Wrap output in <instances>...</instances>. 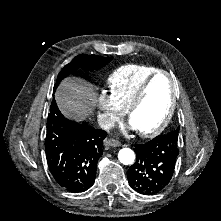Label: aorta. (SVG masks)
Masks as SVG:
<instances>
[{
	"label": "aorta",
	"instance_id": "1",
	"mask_svg": "<svg viewBox=\"0 0 221 221\" xmlns=\"http://www.w3.org/2000/svg\"><path fill=\"white\" fill-rule=\"evenodd\" d=\"M118 159L124 165H131L134 163L135 154L130 148H123L118 153Z\"/></svg>",
	"mask_w": 221,
	"mask_h": 221
}]
</instances>
